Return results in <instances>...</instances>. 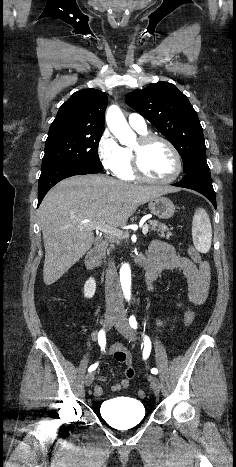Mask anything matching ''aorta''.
I'll use <instances>...</instances> for the list:
<instances>
[{
	"label": "aorta",
	"mask_w": 236,
	"mask_h": 467,
	"mask_svg": "<svg viewBox=\"0 0 236 467\" xmlns=\"http://www.w3.org/2000/svg\"><path fill=\"white\" fill-rule=\"evenodd\" d=\"M106 123L112 134L121 144L128 145L134 137L121 109L117 105H111L106 112ZM120 283L124 296L129 299L131 295V270L127 263L120 269Z\"/></svg>",
	"instance_id": "aorta-1"
}]
</instances>
